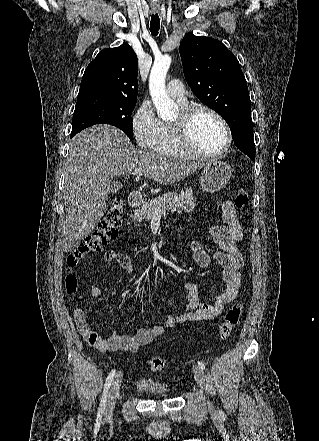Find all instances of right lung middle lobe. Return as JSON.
<instances>
[{
	"label": "right lung middle lobe",
	"mask_w": 319,
	"mask_h": 441,
	"mask_svg": "<svg viewBox=\"0 0 319 441\" xmlns=\"http://www.w3.org/2000/svg\"><path fill=\"white\" fill-rule=\"evenodd\" d=\"M135 105V101L128 100L77 99L70 137L95 124H110L123 130L132 139L131 114Z\"/></svg>",
	"instance_id": "right-lung-middle-lobe-1"
}]
</instances>
